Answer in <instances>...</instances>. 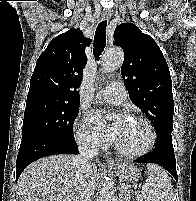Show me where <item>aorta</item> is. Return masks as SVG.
<instances>
[{
	"label": "aorta",
	"mask_w": 196,
	"mask_h": 201,
	"mask_svg": "<svg viewBox=\"0 0 196 201\" xmlns=\"http://www.w3.org/2000/svg\"><path fill=\"white\" fill-rule=\"evenodd\" d=\"M124 61V53L120 48H110L105 51L101 59L104 72L118 69ZM99 201H115L113 185L109 180H104L99 190Z\"/></svg>",
	"instance_id": "762f6f07"
}]
</instances>
